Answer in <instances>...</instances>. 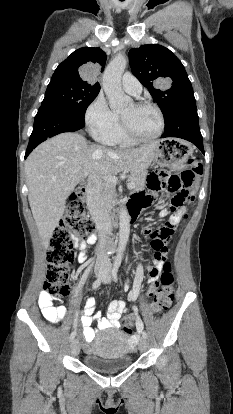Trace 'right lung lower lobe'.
I'll return each mask as SVG.
<instances>
[{"instance_id": "98d812e1", "label": "right lung lower lobe", "mask_w": 233, "mask_h": 414, "mask_svg": "<svg viewBox=\"0 0 233 414\" xmlns=\"http://www.w3.org/2000/svg\"><path fill=\"white\" fill-rule=\"evenodd\" d=\"M85 126L84 118L51 105H41L34 119L25 158L41 142L63 132H74Z\"/></svg>"}]
</instances>
